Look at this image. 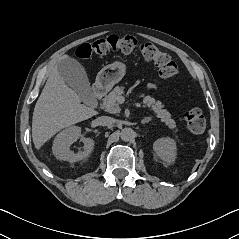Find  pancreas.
<instances>
[{"mask_svg":"<svg viewBox=\"0 0 239 239\" xmlns=\"http://www.w3.org/2000/svg\"><path fill=\"white\" fill-rule=\"evenodd\" d=\"M125 93L124 87L117 86L115 87L104 99L102 102V107L109 113H119V101L118 99ZM143 99L142 103L144 107H148L152 110L157 118H160L161 122L171 129L174 133L178 131L176 128V122L171 118V114L167 109H163V104L160 101H156L153 97L141 93L139 95Z\"/></svg>","mask_w":239,"mask_h":239,"instance_id":"cf45deb5","label":"pancreas"}]
</instances>
